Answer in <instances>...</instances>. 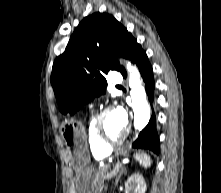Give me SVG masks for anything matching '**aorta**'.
Masks as SVG:
<instances>
[{
    "label": "aorta",
    "instance_id": "obj_1",
    "mask_svg": "<svg viewBox=\"0 0 221 193\" xmlns=\"http://www.w3.org/2000/svg\"><path fill=\"white\" fill-rule=\"evenodd\" d=\"M126 69L129 74L130 96L132 99V109L134 111V127L136 130H142L149 122L150 107L146 100V92L142 85L140 73L136 66L126 62Z\"/></svg>",
    "mask_w": 221,
    "mask_h": 193
}]
</instances>
